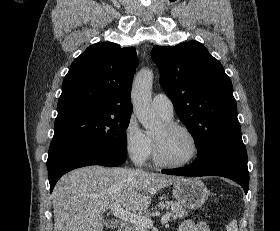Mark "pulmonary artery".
I'll list each match as a JSON object with an SVG mask.
<instances>
[{"label":"pulmonary artery","instance_id":"e3ab8cb5","mask_svg":"<svg viewBox=\"0 0 280 231\" xmlns=\"http://www.w3.org/2000/svg\"><path fill=\"white\" fill-rule=\"evenodd\" d=\"M152 107L167 120H171L174 116V107L172 101L164 94H156L153 97Z\"/></svg>","mask_w":280,"mask_h":231}]
</instances>
